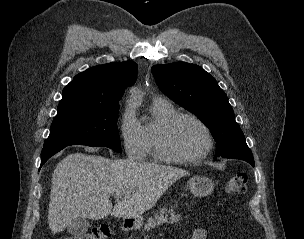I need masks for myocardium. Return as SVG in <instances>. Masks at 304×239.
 <instances>
[{
  "mask_svg": "<svg viewBox=\"0 0 304 239\" xmlns=\"http://www.w3.org/2000/svg\"><path fill=\"white\" fill-rule=\"evenodd\" d=\"M182 119H191L196 122L204 131L206 136V146L204 149L193 156H179L175 154L169 145L170 135L175 125ZM214 145L213 135L208 125L197 115L189 112H177L172 115L160 128L156 149L162 161L174 164H193L205 159L211 152Z\"/></svg>",
  "mask_w": 304,
  "mask_h": 239,
  "instance_id": "1",
  "label": "myocardium"
}]
</instances>
